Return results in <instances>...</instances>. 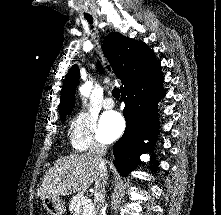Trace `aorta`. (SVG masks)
Wrapping results in <instances>:
<instances>
[{"instance_id":"obj_1","label":"aorta","mask_w":221,"mask_h":215,"mask_svg":"<svg viewBox=\"0 0 221 215\" xmlns=\"http://www.w3.org/2000/svg\"><path fill=\"white\" fill-rule=\"evenodd\" d=\"M90 89H91V84L90 83H85L83 86L80 87L81 95L87 97L90 93Z\"/></svg>"}]
</instances>
